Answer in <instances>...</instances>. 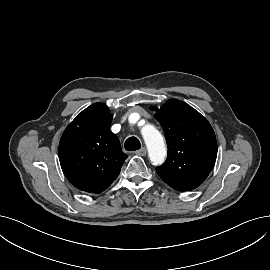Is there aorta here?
<instances>
[{
  "mask_svg": "<svg viewBox=\"0 0 270 270\" xmlns=\"http://www.w3.org/2000/svg\"><path fill=\"white\" fill-rule=\"evenodd\" d=\"M143 139L146 143L150 160L153 164H162L166 157V147L163 136L152 125H146L141 129Z\"/></svg>",
  "mask_w": 270,
  "mask_h": 270,
  "instance_id": "762f6f07",
  "label": "aorta"
}]
</instances>
